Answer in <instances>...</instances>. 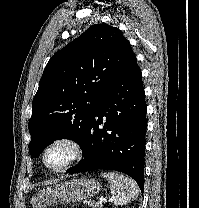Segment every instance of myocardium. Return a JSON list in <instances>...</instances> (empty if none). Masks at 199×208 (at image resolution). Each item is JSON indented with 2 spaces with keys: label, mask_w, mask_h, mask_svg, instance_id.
Segmentation results:
<instances>
[{
  "label": "myocardium",
  "mask_w": 199,
  "mask_h": 208,
  "mask_svg": "<svg viewBox=\"0 0 199 208\" xmlns=\"http://www.w3.org/2000/svg\"><path fill=\"white\" fill-rule=\"evenodd\" d=\"M59 144H65L68 145L72 149V157L64 164L57 166V167H51L48 165L46 161V155L48 151L55 145ZM84 157V147L81 144L79 140H77L75 137H72L70 135H62L53 138L50 140L43 148L42 151V163L43 165L50 171L55 173L64 172L71 167L78 164Z\"/></svg>",
  "instance_id": "f54148a6"
}]
</instances>
